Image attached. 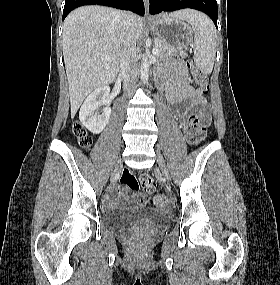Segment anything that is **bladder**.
<instances>
[{
    "label": "bladder",
    "instance_id": "obj_1",
    "mask_svg": "<svg viewBox=\"0 0 280 285\" xmlns=\"http://www.w3.org/2000/svg\"><path fill=\"white\" fill-rule=\"evenodd\" d=\"M103 221L109 229L125 232L140 225L142 222H148L156 228H162L168 223L169 219L163 212L143 209L136 212H107L103 214Z\"/></svg>",
    "mask_w": 280,
    "mask_h": 285
}]
</instances>
